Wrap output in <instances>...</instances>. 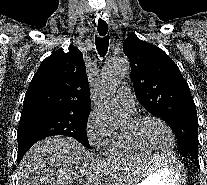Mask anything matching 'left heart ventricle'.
I'll return each instance as SVG.
<instances>
[{"instance_id":"obj_1","label":"left heart ventricle","mask_w":207,"mask_h":185,"mask_svg":"<svg viewBox=\"0 0 207 185\" xmlns=\"http://www.w3.org/2000/svg\"><path fill=\"white\" fill-rule=\"evenodd\" d=\"M124 131L132 132L137 142L153 156H165L171 147L168 132L157 121L149 120L137 127L130 121Z\"/></svg>"}]
</instances>
